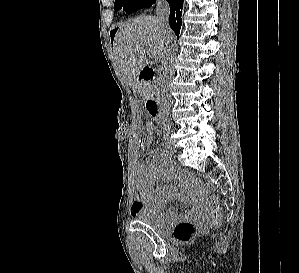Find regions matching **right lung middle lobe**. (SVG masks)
Masks as SVG:
<instances>
[{"label": "right lung middle lobe", "mask_w": 299, "mask_h": 273, "mask_svg": "<svg viewBox=\"0 0 299 273\" xmlns=\"http://www.w3.org/2000/svg\"><path fill=\"white\" fill-rule=\"evenodd\" d=\"M137 0H115L114 8L116 11L120 9L128 10Z\"/></svg>", "instance_id": "dd1d6c3e"}]
</instances>
